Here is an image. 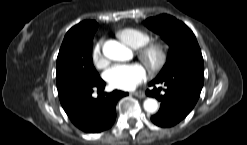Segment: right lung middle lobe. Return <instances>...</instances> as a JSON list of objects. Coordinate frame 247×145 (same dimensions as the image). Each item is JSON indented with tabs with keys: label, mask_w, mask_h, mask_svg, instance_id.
<instances>
[{
	"label": "right lung middle lobe",
	"mask_w": 247,
	"mask_h": 145,
	"mask_svg": "<svg viewBox=\"0 0 247 145\" xmlns=\"http://www.w3.org/2000/svg\"><path fill=\"white\" fill-rule=\"evenodd\" d=\"M93 35H66L57 57L58 92L100 79L92 62Z\"/></svg>",
	"instance_id": "dd1d6c3e"
}]
</instances>
